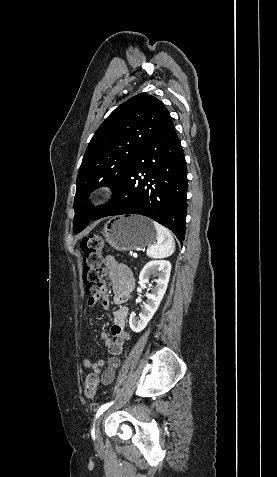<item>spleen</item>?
I'll return each instance as SVG.
<instances>
[{"instance_id":"obj_1","label":"spleen","mask_w":277,"mask_h":477,"mask_svg":"<svg viewBox=\"0 0 277 477\" xmlns=\"http://www.w3.org/2000/svg\"><path fill=\"white\" fill-rule=\"evenodd\" d=\"M156 229L157 242L147 249V256L151 258H165L173 254L175 242L170 231L157 222H153Z\"/></svg>"}]
</instances>
